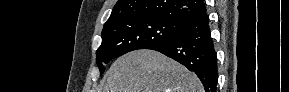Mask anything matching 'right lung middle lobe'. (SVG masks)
Returning a JSON list of instances; mask_svg holds the SVG:
<instances>
[{
	"mask_svg": "<svg viewBox=\"0 0 289 92\" xmlns=\"http://www.w3.org/2000/svg\"><path fill=\"white\" fill-rule=\"evenodd\" d=\"M184 25L167 19L139 17L121 20L104 27L102 44L96 52L100 74L113 58L167 41L180 33Z\"/></svg>",
	"mask_w": 289,
	"mask_h": 92,
	"instance_id": "right-lung-middle-lobe-1",
	"label": "right lung middle lobe"
}]
</instances>
